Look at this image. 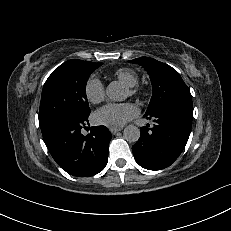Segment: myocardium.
I'll return each instance as SVG.
<instances>
[{
    "mask_svg": "<svg viewBox=\"0 0 231 231\" xmlns=\"http://www.w3.org/2000/svg\"><path fill=\"white\" fill-rule=\"evenodd\" d=\"M128 91L131 96H136L138 94V88L136 86H128Z\"/></svg>",
    "mask_w": 231,
    "mask_h": 231,
    "instance_id": "obj_1",
    "label": "myocardium"
}]
</instances>
